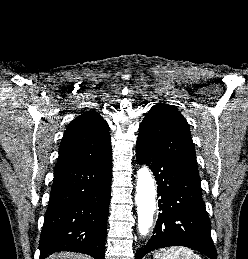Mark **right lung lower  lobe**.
I'll return each mask as SVG.
<instances>
[{
    "label": "right lung lower lobe",
    "instance_id": "1",
    "mask_svg": "<svg viewBox=\"0 0 248 259\" xmlns=\"http://www.w3.org/2000/svg\"><path fill=\"white\" fill-rule=\"evenodd\" d=\"M112 153L85 164L54 169L40 236V258L58 251L104 259Z\"/></svg>",
    "mask_w": 248,
    "mask_h": 259
}]
</instances>
